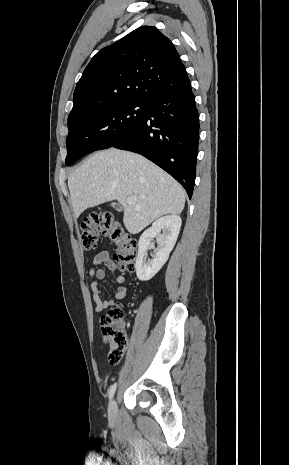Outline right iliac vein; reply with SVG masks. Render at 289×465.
Listing matches in <instances>:
<instances>
[{
    "mask_svg": "<svg viewBox=\"0 0 289 465\" xmlns=\"http://www.w3.org/2000/svg\"><path fill=\"white\" fill-rule=\"evenodd\" d=\"M108 415L110 421H115L117 417V402L115 399L111 400L109 404Z\"/></svg>",
    "mask_w": 289,
    "mask_h": 465,
    "instance_id": "obj_1",
    "label": "right iliac vein"
}]
</instances>
